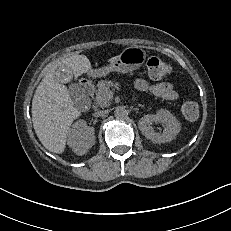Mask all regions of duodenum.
Segmentation results:
<instances>
[{"label": "duodenum", "instance_id": "obj_1", "mask_svg": "<svg viewBox=\"0 0 231 231\" xmlns=\"http://www.w3.org/2000/svg\"><path fill=\"white\" fill-rule=\"evenodd\" d=\"M85 88H86V96L83 99V102L85 105H87L89 102V96L93 93V87L91 84H87Z\"/></svg>", "mask_w": 231, "mask_h": 231}]
</instances>
